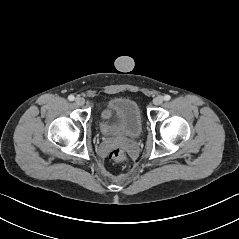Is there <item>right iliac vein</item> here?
Here are the masks:
<instances>
[{"label":"right iliac vein","mask_w":239,"mask_h":239,"mask_svg":"<svg viewBox=\"0 0 239 239\" xmlns=\"http://www.w3.org/2000/svg\"><path fill=\"white\" fill-rule=\"evenodd\" d=\"M75 103L79 106H82L85 103V100L82 97H76Z\"/></svg>","instance_id":"1"}]
</instances>
